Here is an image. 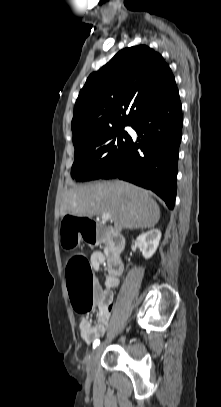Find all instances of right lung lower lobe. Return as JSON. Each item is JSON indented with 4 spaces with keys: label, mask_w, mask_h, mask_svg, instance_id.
<instances>
[{
    "label": "right lung lower lobe",
    "mask_w": 221,
    "mask_h": 407,
    "mask_svg": "<svg viewBox=\"0 0 221 407\" xmlns=\"http://www.w3.org/2000/svg\"><path fill=\"white\" fill-rule=\"evenodd\" d=\"M182 126V108L176 87L136 120L132 127L141 139H132L124 155L101 178L118 177L150 189L173 209Z\"/></svg>",
    "instance_id": "98d812e1"
}]
</instances>
